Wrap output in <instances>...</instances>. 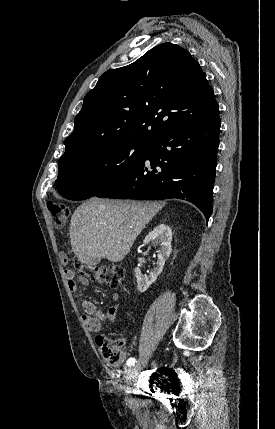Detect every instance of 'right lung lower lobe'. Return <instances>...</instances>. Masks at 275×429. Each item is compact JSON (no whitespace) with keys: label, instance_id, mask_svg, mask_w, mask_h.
<instances>
[{"label":"right lung lower lobe","instance_id":"1","mask_svg":"<svg viewBox=\"0 0 275 429\" xmlns=\"http://www.w3.org/2000/svg\"><path fill=\"white\" fill-rule=\"evenodd\" d=\"M219 114V113H218ZM190 123L148 143L141 163L97 197L161 200L178 198L212 213L220 118Z\"/></svg>","mask_w":275,"mask_h":429}]
</instances>
